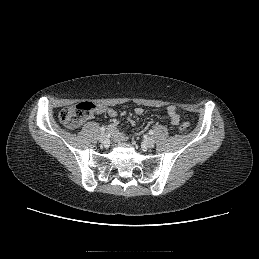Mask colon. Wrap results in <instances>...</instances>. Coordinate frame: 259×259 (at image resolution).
Here are the masks:
<instances>
[{
	"label": "colon",
	"mask_w": 259,
	"mask_h": 259,
	"mask_svg": "<svg viewBox=\"0 0 259 259\" xmlns=\"http://www.w3.org/2000/svg\"><path fill=\"white\" fill-rule=\"evenodd\" d=\"M97 110V106L92 102H80L62 109L59 113L60 122L70 129H75L90 117ZM190 123L184 121L180 124L182 132H188Z\"/></svg>",
	"instance_id": "1"
}]
</instances>
